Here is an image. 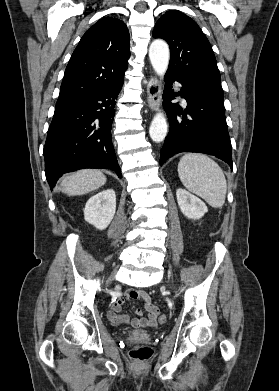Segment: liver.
Returning a JSON list of instances; mask_svg holds the SVG:
<instances>
[{"instance_id":"liver-1","label":"liver","mask_w":279,"mask_h":391,"mask_svg":"<svg viewBox=\"0 0 279 391\" xmlns=\"http://www.w3.org/2000/svg\"><path fill=\"white\" fill-rule=\"evenodd\" d=\"M106 180L101 171L84 169L64 177L61 181V191L69 196L83 195L103 186Z\"/></svg>"}]
</instances>
